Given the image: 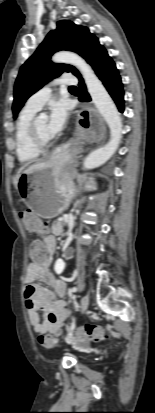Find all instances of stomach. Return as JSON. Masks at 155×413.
Here are the masks:
<instances>
[{"instance_id":"obj_1","label":"stomach","mask_w":155,"mask_h":413,"mask_svg":"<svg viewBox=\"0 0 155 413\" xmlns=\"http://www.w3.org/2000/svg\"><path fill=\"white\" fill-rule=\"evenodd\" d=\"M74 171L66 170L52 158L26 166L21 172L18 195L28 208L42 218H53L68 208L78 189ZM85 190L96 189L95 182L88 180Z\"/></svg>"}]
</instances>
